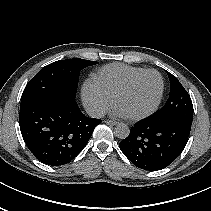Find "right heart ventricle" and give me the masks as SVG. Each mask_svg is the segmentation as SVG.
I'll return each mask as SVG.
<instances>
[{
  "label": "right heart ventricle",
  "mask_w": 211,
  "mask_h": 211,
  "mask_svg": "<svg viewBox=\"0 0 211 211\" xmlns=\"http://www.w3.org/2000/svg\"><path fill=\"white\" fill-rule=\"evenodd\" d=\"M145 70L141 67L114 63L103 66L92 77L111 96L131 77Z\"/></svg>",
  "instance_id": "obj_1"
}]
</instances>
